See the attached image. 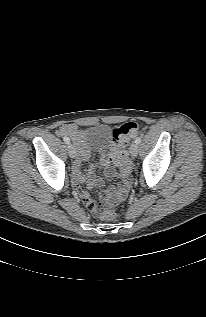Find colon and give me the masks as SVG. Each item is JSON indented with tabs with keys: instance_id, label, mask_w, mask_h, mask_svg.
<instances>
[{
	"instance_id": "1",
	"label": "colon",
	"mask_w": 206,
	"mask_h": 317,
	"mask_svg": "<svg viewBox=\"0 0 206 317\" xmlns=\"http://www.w3.org/2000/svg\"><path fill=\"white\" fill-rule=\"evenodd\" d=\"M138 134V125L135 122H127L116 128L113 132L114 141L117 144V150L113 156L114 162L120 168V174L124 177L130 175L131 163L127 153L124 150L129 139ZM91 211L98 217L113 220L118 216V213L107 204L94 203Z\"/></svg>"
}]
</instances>
